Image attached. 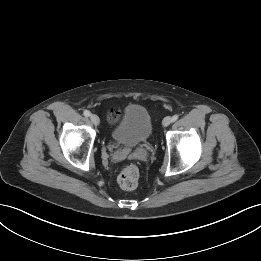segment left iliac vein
<instances>
[{
    "instance_id": "4c4485c4",
    "label": "left iliac vein",
    "mask_w": 261,
    "mask_h": 261,
    "mask_svg": "<svg viewBox=\"0 0 261 261\" xmlns=\"http://www.w3.org/2000/svg\"><path fill=\"white\" fill-rule=\"evenodd\" d=\"M172 123V118L167 116L163 119L162 124L164 127L169 126Z\"/></svg>"
}]
</instances>
